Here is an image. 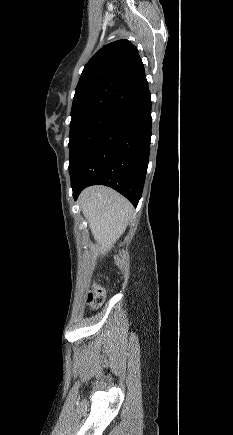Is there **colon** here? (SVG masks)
Masks as SVG:
<instances>
[{"instance_id":"1","label":"colon","mask_w":233,"mask_h":435,"mask_svg":"<svg viewBox=\"0 0 233 435\" xmlns=\"http://www.w3.org/2000/svg\"><path fill=\"white\" fill-rule=\"evenodd\" d=\"M86 302L93 309L101 307L104 303L103 289L100 286L94 285L86 296Z\"/></svg>"}]
</instances>
